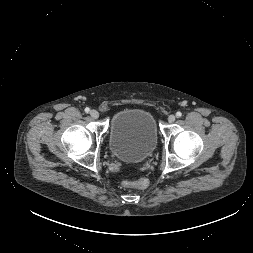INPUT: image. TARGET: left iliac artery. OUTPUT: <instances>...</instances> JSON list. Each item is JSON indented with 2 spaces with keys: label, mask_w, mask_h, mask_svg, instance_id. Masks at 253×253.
<instances>
[{
  "label": "left iliac artery",
  "mask_w": 253,
  "mask_h": 253,
  "mask_svg": "<svg viewBox=\"0 0 253 253\" xmlns=\"http://www.w3.org/2000/svg\"><path fill=\"white\" fill-rule=\"evenodd\" d=\"M176 116L179 118V117L182 116V113H181L180 111H178V112L176 113Z\"/></svg>",
  "instance_id": "left-iliac-artery-1"
}]
</instances>
